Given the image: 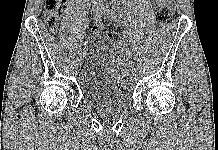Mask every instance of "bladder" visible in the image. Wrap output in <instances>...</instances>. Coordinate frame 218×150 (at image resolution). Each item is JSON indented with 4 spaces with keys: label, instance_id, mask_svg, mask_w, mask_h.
Returning a JSON list of instances; mask_svg holds the SVG:
<instances>
[{
    "label": "bladder",
    "instance_id": "obj_1",
    "mask_svg": "<svg viewBox=\"0 0 218 150\" xmlns=\"http://www.w3.org/2000/svg\"><path fill=\"white\" fill-rule=\"evenodd\" d=\"M116 58L105 39H95L87 47L80 87L84 96L99 106L123 108L129 102L130 87Z\"/></svg>",
    "mask_w": 218,
    "mask_h": 150
}]
</instances>
